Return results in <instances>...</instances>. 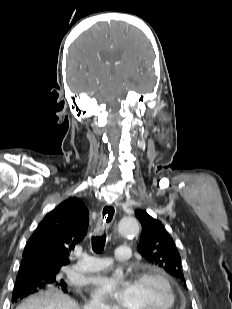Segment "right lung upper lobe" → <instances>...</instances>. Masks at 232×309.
I'll use <instances>...</instances> for the list:
<instances>
[{"label":"right lung upper lobe","instance_id":"right-lung-upper-lobe-1","mask_svg":"<svg viewBox=\"0 0 232 309\" xmlns=\"http://www.w3.org/2000/svg\"><path fill=\"white\" fill-rule=\"evenodd\" d=\"M88 210L78 198H69L48 213L26 243L19 270L34 275L69 264V250L83 240Z\"/></svg>","mask_w":232,"mask_h":309}]
</instances>
